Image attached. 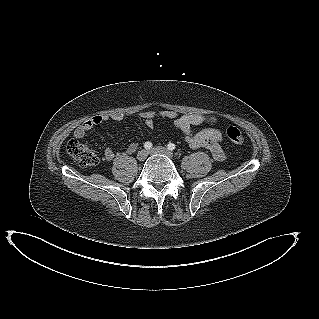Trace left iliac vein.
I'll return each instance as SVG.
<instances>
[{"instance_id":"left-iliac-vein-1","label":"left iliac vein","mask_w":319,"mask_h":319,"mask_svg":"<svg viewBox=\"0 0 319 319\" xmlns=\"http://www.w3.org/2000/svg\"><path fill=\"white\" fill-rule=\"evenodd\" d=\"M149 153L150 154H163V155L168 156L169 158L173 157V153L171 151H169L167 148L161 147V146L152 148Z\"/></svg>"}]
</instances>
